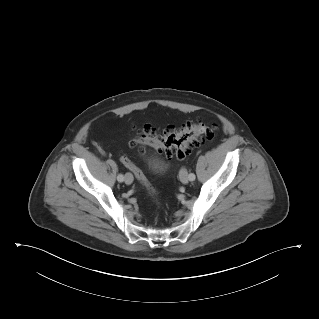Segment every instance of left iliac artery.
Returning a JSON list of instances; mask_svg holds the SVG:
<instances>
[{
    "mask_svg": "<svg viewBox=\"0 0 319 319\" xmlns=\"http://www.w3.org/2000/svg\"><path fill=\"white\" fill-rule=\"evenodd\" d=\"M195 178H196V177H195V174H193V173H190V174H189V180H190V181H194Z\"/></svg>",
    "mask_w": 319,
    "mask_h": 319,
    "instance_id": "obj_1",
    "label": "left iliac artery"
}]
</instances>
